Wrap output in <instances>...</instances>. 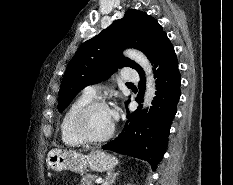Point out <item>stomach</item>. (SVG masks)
Masks as SVG:
<instances>
[{
	"label": "stomach",
	"mask_w": 233,
	"mask_h": 185,
	"mask_svg": "<svg viewBox=\"0 0 233 185\" xmlns=\"http://www.w3.org/2000/svg\"><path fill=\"white\" fill-rule=\"evenodd\" d=\"M46 161L48 167L55 171L70 170L76 173H85L88 168L98 172L108 171L118 164L115 156L101 150L84 155L73 150L52 149Z\"/></svg>",
	"instance_id": "stomach-1"
}]
</instances>
